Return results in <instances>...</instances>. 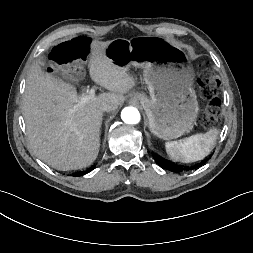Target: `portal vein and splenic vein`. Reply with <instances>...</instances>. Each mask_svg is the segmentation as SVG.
<instances>
[{"instance_id":"portal-vein-and-splenic-vein-1","label":"portal vein and splenic vein","mask_w":253,"mask_h":253,"mask_svg":"<svg viewBox=\"0 0 253 253\" xmlns=\"http://www.w3.org/2000/svg\"><path fill=\"white\" fill-rule=\"evenodd\" d=\"M94 95H95V90L91 89L88 94H82L79 97V102L80 103H87L88 101H90L94 98Z\"/></svg>"}]
</instances>
